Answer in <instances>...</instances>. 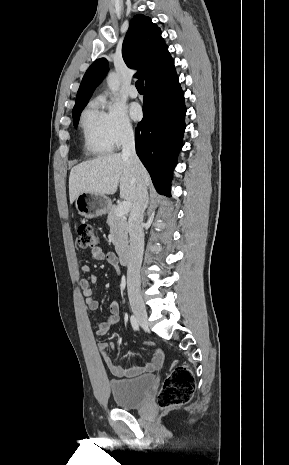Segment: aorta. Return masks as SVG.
Here are the masks:
<instances>
[{
	"mask_svg": "<svg viewBox=\"0 0 289 465\" xmlns=\"http://www.w3.org/2000/svg\"><path fill=\"white\" fill-rule=\"evenodd\" d=\"M107 85L112 93L116 94L119 91L120 82L114 72H110L107 76Z\"/></svg>",
	"mask_w": 289,
	"mask_h": 465,
	"instance_id": "762f6f07",
	"label": "aorta"
}]
</instances>
